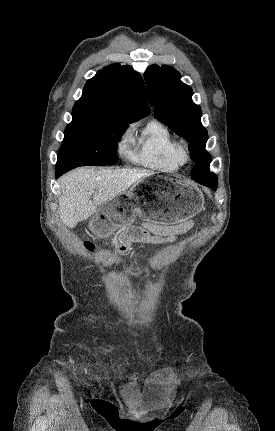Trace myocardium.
Here are the masks:
<instances>
[{
  "mask_svg": "<svg viewBox=\"0 0 275 431\" xmlns=\"http://www.w3.org/2000/svg\"><path fill=\"white\" fill-rule=\"evenodd\" d=\"M184 156H186V152L183 150Z\"/></svg>",
  "mask_w": 275,
  "mask_h": 431,
  "instance_id": "1",
  "label": "myocardium"
}]
</instances>
